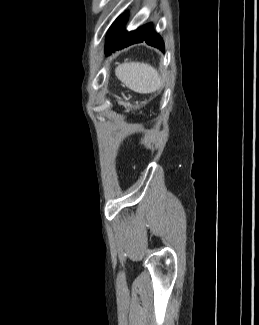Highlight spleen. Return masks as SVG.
Segmentation results:
<instances>
[{"label":"spleen","mask_w":259,"mask_h":325,"mask_svg":"<svg viewBox=\"0 0 259 325\" xmlns=\"http://www.w3.org/2000/svg\"><path fill=\"white\" fill-rule=\"evenodd\" d=\"M116 77L130 90L147 94L161 87L157 70L147 63L126 62L115 69Z\"/></svg>","instance_id":"spleen-1"}]
</instances>
